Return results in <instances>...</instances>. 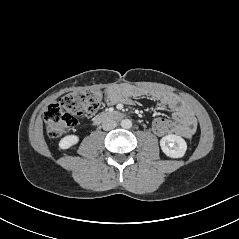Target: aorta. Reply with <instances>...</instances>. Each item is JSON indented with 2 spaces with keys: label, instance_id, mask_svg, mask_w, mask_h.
I'll return each instance as SVG.
<instances>
[{
  "label": "aorta",
  "instance_id": "obj_1",
  "mask_svg": "<svg viewBox=\"0 0 239 239\" xmlns=\"http://www.w3.org/2000/svg\"><path fill=\"white\" fill-rule=\"evenodd\" d=\"M120 124H121V127L124 129H129L132 127V122L129 119L122 120Z\"/></svg>",
  "mask_w": 239,
  "mask_h": 239
}]
</instances>
